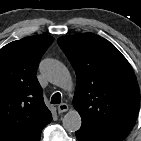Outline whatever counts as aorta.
Wrapping results in <instances>:
<instances>
[{"mask_svg":"<svg viewBox=\"0 0 141 141\" xmlns=\"http://www.w3.org/2000/svg\"><path fill=\"white\" fill-rule=\"evenodd\" d=\"M40 71L46 76L48 81L63 89L72 87V78L67 67L56 59H44L40 63ZM82 120L77 110H69L63 118V127L68 132L78 131Z\"/></svg>","mask_w":141,"mask_h":141,"instance_id":"aorta-1","label":"aorta"}]
</instances>
